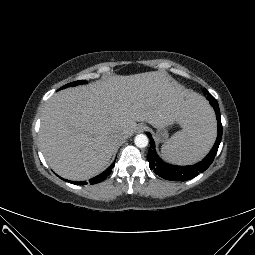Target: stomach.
<instances>
[{"mask_svg": "<svg viewBox=\"0 0 255 255\" xmlns=\"http://www.w3.org/2000/svg\"><path fill=\"white\" fill-rule=\"evenodd\" d=\"M175 121H168L165 124L158 126L156 129V139L159 142H163L168 138V131L171 126H173Z\"/></svg>", "mask_w": 255, "mask_h": 255, "instance_id": "0dacf381", "label": "stomach"}]
</instances>
